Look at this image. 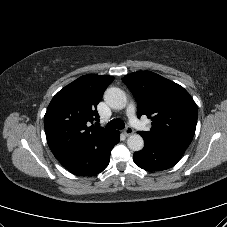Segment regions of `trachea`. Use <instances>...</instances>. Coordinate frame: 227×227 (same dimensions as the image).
<instances>
[{"label": "trachea", "mask_w": 227, "mask_h": 227, "mask_svg": "<svg viewBox=\"0 0 227 227\" xmlns=\"http://www.w3.org/2000/svg\"><path fill=\"white\" fill-rule=\"evenodd\" d=\"M106 127L110 129L122 130L125 127V123L120 119H113L106 125Z\"/></svg>", "instance_id": "3493384b"}]
</instances>
